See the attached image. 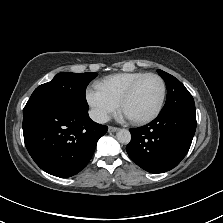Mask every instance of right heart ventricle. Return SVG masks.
Wrapping results in <instances>:
<instances>
[{"instance_id":"obj_1","label":"right heart ventricle","mask_w":223,"mask_h":223,"mask_svg":"<svg viewBox=\"0 0 223 223\" xmlns=\"http://www.w3.org/2000/svg\"><path fill=\"white\" fill-rule=\"evenodd\" d=\"M144 72H122L111 75L99 84L113 99L119 101L126 91L142 76Z\"/></svg>"}]
</instances>
